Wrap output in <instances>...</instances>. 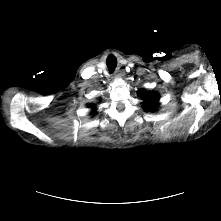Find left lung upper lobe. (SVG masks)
I'll return each instance as SVG.
<instances>
[{
	"label": "left lung upper lobe",
	"instance_id": "5c2ea615",
	"mask_svg": "<svg viewBox=\"0 0 221 221\" xmlns=\"http://www.w3.org/2000/svg\"><path fill=\"white\" fill-rule=\"evenodd\" d=\"M143 108L147 111L154 110L158 106L159 96L153 92H142Z\"/></svg>",
	"mask_w": 221,
	"mask_h": 221
}]
</instances>
